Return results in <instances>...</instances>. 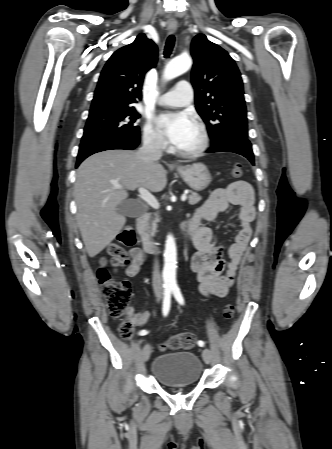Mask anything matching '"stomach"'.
<instances>
[{
  "label": "stomach",
  "mask_w": 332,
  "mask_h": 449,
  "mask_svg": "<svg viewBox=\"0 0 332 449\" xmlns=\"http://www.w3.org/2000/svg\"><path fill=\"white\" fill-rule=\"evenodd\" d=\"M177 172L188 186L195 191L206 189L211 182V175L203 163L179 167Z\"/></svg>",
  "instance_id": "stomach-1"
}]
</instances>
